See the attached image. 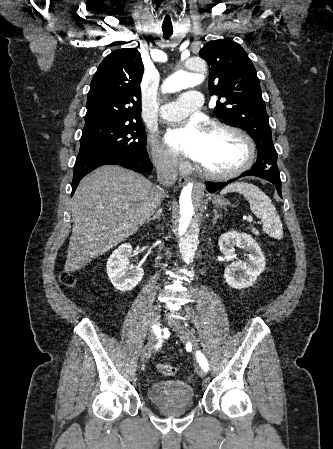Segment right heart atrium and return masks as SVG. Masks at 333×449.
<instances>
[{"mask_svg":"<svg viewBox=\"0 0 333 449\" xmlns=\"http://www.w3.org/2000/svg\"><path fill=\"white\" fill-rule=\"evenodd\" d=\"M151 158L154 165L166 173L177 174L185 167L184 162L176 154L155 141H151Z\"/></svg>","mask_w":333,"mask_h":449,"instance_id":"d8ad5b80","label":"right heart atrium"}]
</instances>
